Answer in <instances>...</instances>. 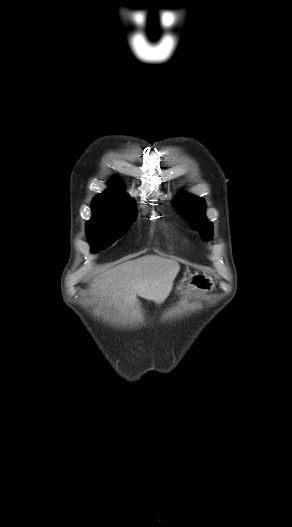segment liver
<instances>
[{
  "mask_svg": "<svg viewBox=\"0 0 292 527\" xmlns=\"http://www.w3.org/2000/svg\"><path fill=\"white\" fill-rule=\"evenodd\" d=\"M179 270L175 260L145 255L100 273L90 284V291L97 301L108 299L122 309L139 308L137 296L162 303L170 294Z\"/></svg>",
  "mask_w": 292,
  "mask_h": 527,
  "instance_id": "1",
  "label": "liver"
}]
</instances>
